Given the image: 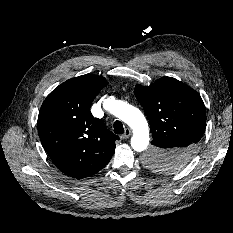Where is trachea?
<instances>
[{"instance_id": "trachea-1", "label": "trachea", "mask_w": 233, "mask_h": 233, "mask_svg": "<svg viewBox=\"0 0 233 233\" xmlns=\"http://www.w3.org/2000/svg\"><path fill=\"white\" fill-rule=\"evenodd\" d=\"M113 127H114L115 134H123L124 133V127H123L122 122H120L118 120L115 121Z\"/></svg>"}]
</instances>
